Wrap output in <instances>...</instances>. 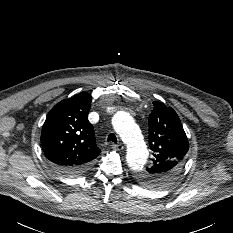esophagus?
<instances>
[{"label": "esophagus", "instance_id": "1", "mask_svg": "<svg viewBox=\"0 0 233 233\" xmlns=\"http://www.w3.org/2000/svg\"><path fill=\"white\" fill-rule=\"evenodd\" d=\"M111 146H112L113 149L118 150V151L122 150L124 148L122 143L112 144Z\"/></svg>", "mask_w": 233, "mask_h": 233}]
</instances>
